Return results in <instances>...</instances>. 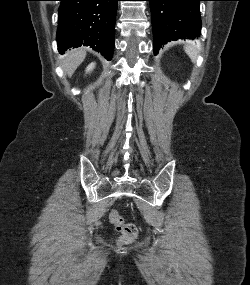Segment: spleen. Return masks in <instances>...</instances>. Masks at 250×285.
I'll list each match as a JSON object with an SVG mask.
<instances>
[{"mask_svg": "<svg viewBox=\"0 0 250 285\" xmlns=\"http://www.w3.org/2000/svg\"><path fill=\"white\" fill-rule=\"evenodd\" d=\"M186 54L190 57L193 63H196L197 56L199 54L198 48L195 44H189L184 46Z\"/></svg>", "mask_w": 250, "mask_h": 285, "instance_id": "3e777b00", "label": "spleen"}]
</instances>
